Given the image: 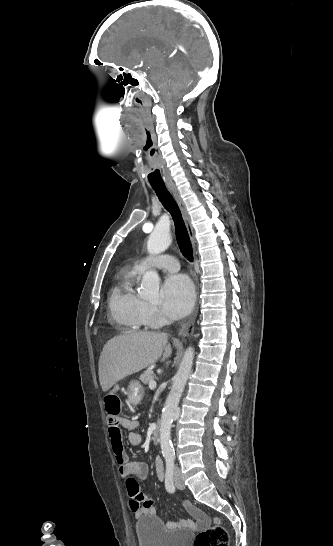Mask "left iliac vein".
Wrapping results in <instances>:
<instances>
[{"label": "left iliac vein", "mask_w": 333, "mask_h": 546, "mask_svg": "<svg viewBox=\"0 0 333 546\" xmlns=\"http://www.w3.org/2000/svg\"><path fill=\"white\" fill-rule=\"evenodd\" d=\"M174 483H175V486H176L178 489H184V488H185V485H184L183 479H182V477H181V473H180L179 468H176V469H175Z\"/></svg>", "instance_id": "4c4485c4"}]
</instances>
